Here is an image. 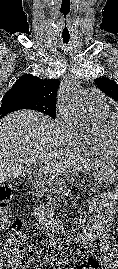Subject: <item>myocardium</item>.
<instances>
[{
    "label": "myocardium",
    "instance_id": "myocardium-1",
    "mask_svg": "<svg viewBox=\"0 0 118 269\" xmlns=\"http://www.w3.org/2000/svg\"><path fill=\"white\" fill-rule=\"evenodd\" d=\"M118 123V112H113L108 118L101 122V129L103 132V136L110 144L112 149L118 154V142H116L113 131L115 125Z\"/></svg>",
    "mask_w": 118,
    "mask_h": 269
}]
</instances>
